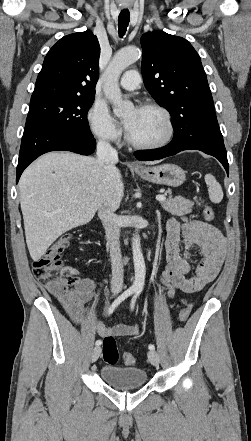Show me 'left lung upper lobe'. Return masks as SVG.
<instances>
[{
	"label": "left lung upper lobe",
	"instance_id": "1",
	"mask_svg": "<svg viewBox=\"0 0 251 441\" xmlns=\"http://www.w3.org/2000/svg\"><path fill=\"white\" fill-rule=\"evenodd\" d=\"M140 42L144 85L169 111L174 130L198 114L216 116L200 57L187 40L154 31Z\"/></svg>",
	"mask_w": 251,
	"mask_h": 441
}]
</instances>
